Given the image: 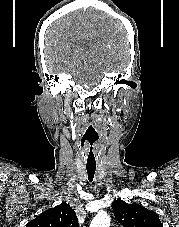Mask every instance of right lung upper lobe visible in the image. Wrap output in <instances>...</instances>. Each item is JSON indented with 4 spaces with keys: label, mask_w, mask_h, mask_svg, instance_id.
Returning a JSON list of instances; mask_svg holds the SVG:
<instances>
[{
    "label": "right lung upper lobe",
    "mask_w": 179,
    "mask_h": 227,
    "mask_svg": "<svg viewBox=\"0 0 179 227\" xmlns=\"http://www.w3.org/2000/svg\"><path fill=\"white\" fill-rule=\"evenodd\" d=\"M26 227H79L75 211L63 202L42 212L28 222Z\"/></svg>",
    "instance_id": "obj_1"
}]
</instances>
